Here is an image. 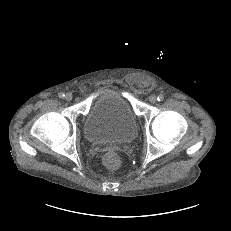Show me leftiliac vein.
Segmentation results:
<instances>
[{"label":"left iliac vein","instance_id":"obj_1","mask_svg":"<svg viewBox=\"0 0 231 231\" xmlns=\"http://www.w3.org/2000/svg\"><path fill=\"white\" fill-rule=\"evenodd\" d=\"M149 101H150V103L154 104V103L157 102V97L154 96V95H151V96L149 97Z\"/></svg>","mask_w":231,"mask_h":231}]
</instances>
